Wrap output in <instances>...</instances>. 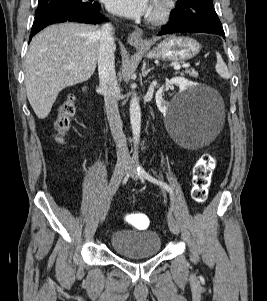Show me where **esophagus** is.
<instances>
[{
	"instance_id": "1",
	"label": "esophagus",
	"mask_w": 267,
	"mask_h": 301,
	"mask_svg": "<svg viewBox=\"0 0 267 301\" xmlns=\"http://www.w3.org/2000/svg\"><path fill=\"white\" fill-rule=\"evenodd\" d=\"M128 42L131 46L134 47H141L144 45L143 40V32L141 29L136 28L134 31L130 33L128 36Z\"/></svg>"
}]
</instances>
